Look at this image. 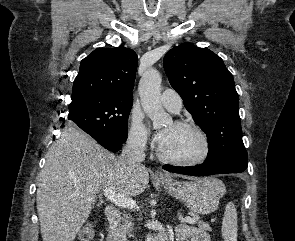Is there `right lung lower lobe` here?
I'll list each match as a JSON object with an SVG mask.
<instances>
[{"instance_id":"1","label":"right lung lower lobe","mask_w":295,"mask_h":241,"mask_svg":"<svg viewBox=\"0 0 295 241\" xmlns=\"http://www.w3.org/2000/svg\"><path fill=\"white\" fill-rule=\"evenodd\" d=\"M100 145L105 147L106 149L117 152L121 149L123 142H113L108 139H105L103 137L97 136V135H91Z\"/></svg>"}]
</instances>
